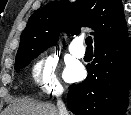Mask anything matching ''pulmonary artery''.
I'll list each match as a JSON object with an SVG mask.
<instances>
[{"instance_id": "obj_1", "label": "pulmonary artery", "mask_w": 131, "mask_h": 115, "mask_svg": "<svg viewBox=\"0 0 131 115\" xmlns=\"http://www.w3.org/2000/svg\"><path fill=\"white\" fill-rule=\"evenodd\" d=\"M69 51L73 56L82 58L85 54L82 41L80 39H74L69 46Z\"/></svg>"}]
</instances>
